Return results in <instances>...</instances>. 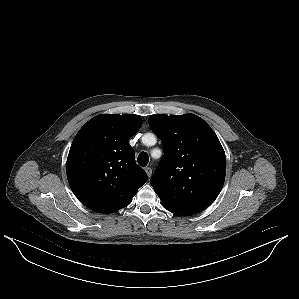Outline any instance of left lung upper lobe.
Segmentation results:
<instances>
[{"instance_id":"1","label":"left lung upper lobe","mask_w":299,"mask_h":299,"mask_svg":"<svg viewBox=\"0 0 299 299\" xmlns=\"http://www.w3.org/2000/svg\"><path fill=\"white\" fill-rule=\"evenodd\" d=\"M148 121L163 143L164 156L150 179L162 205L204 210L225 180L226 157L216 134L194 114L152 115Z\"/></svg>"}]
</instances>
